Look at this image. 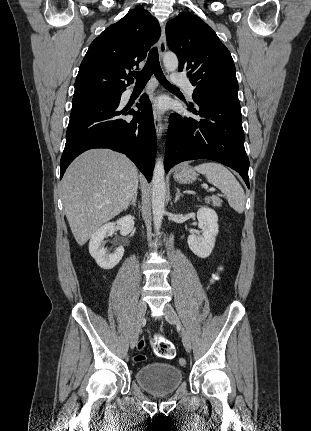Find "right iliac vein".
I'll use <instances>...</instances> for the list:
<instances>
[{"label": "right iliac vein", "instance_id": "obj_1", "mask_svg": "<svg viewBox=\"0 0 311 431\" xmlns=\"http://www.w3.org/2000/svg\"><path fill=\"white\" fill-rule=\"evenodd\" d=\"M146 303L144 301H139L138 305H137V312H136V318H135V322L131 331V336H130V346L131 348H134L137 341H138V337H139V333L141 330V326L143 323V319L146 313Z\"/></svg>", "mask_w": 311, "mask_h": 431}]
</instances>
